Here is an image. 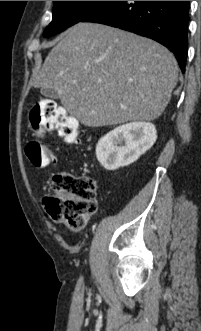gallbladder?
<instances>
[{"label": "gallbladder", "mask_w": 201, "mask_h": 331, "mask_svg": "<svg viewBox=\"0 0 201 331\" xmlns=\"http://www.w3.org/2000/svg\"><path fill=\"white\" fill-rule=\"evenodd\" d=\"M41 94L45 98H50V99H58L59 95L55 89H50V88H42L41 89Z\"/></svg>", "instance_id": "1"}]
</instances>
